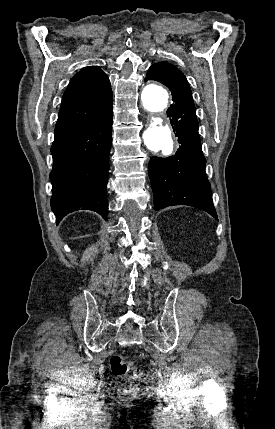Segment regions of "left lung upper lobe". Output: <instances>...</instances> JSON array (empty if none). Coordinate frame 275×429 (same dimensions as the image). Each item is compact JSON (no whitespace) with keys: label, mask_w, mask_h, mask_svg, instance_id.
Wrapping results in <instances>:
<instances>
[{"label":"left lung upper lobe","mask_w":275,"mask_h":429,"mask_svg":"<svg viewBox=\"0 0 275 429\" xmlns=\"http://www.w3.org/2000/svg\"><path fill=\"white\" fill-rule=\"evenodd\" d=\"M150 68L159 69V70L161 69V70L170 71V72H174V73L183 75L175 66H173L167 62L156 63V64L152 65Z\"/></svg>","instance_id":"obj_1"}]
</instances>
